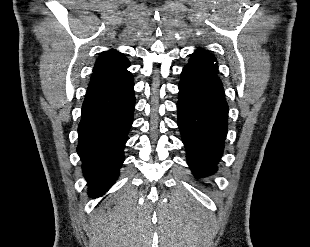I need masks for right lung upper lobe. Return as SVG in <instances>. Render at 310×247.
<instances>
[{"instance_id": "right-lung-upper-lobe-1", "label": "right lung upper lobe", "mask_w": 310, "mask_h": 247, "mask_svg": "<svg viewBox=\"0 0 310 247\" xmlns=\"http://www.w3.org/2000/svg\"><path fill=\"white\" fill-rule=\"evenodd\" d=\"M130 63L120 52L110 50L100 55L93 69L88 89L122 85L133 81L127 70Z\"/></svg>"}]
</instances>
